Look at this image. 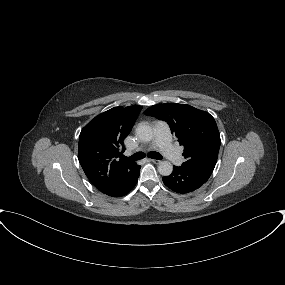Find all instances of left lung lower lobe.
<instances>
[{"instance_id":"1","label":"left lung lower lobe","mask_w":285,"mask_h":285,"mask_svg":"<svg viewBox=\"0 0 285 285\" xmlns=\"http://www.w3.org/2000/svg\"><path fill=\"white\" fill-rule=\"evenodd\" d=\"M213 166H173V172L162 180L174 192L185 194L200 188L210 177Z\"/></svg>"}]
</instances>
